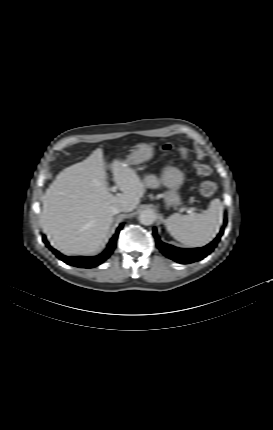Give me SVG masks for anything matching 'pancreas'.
I'll return each mask as SVG.
<instances>
[{"mask_svg":"<svg viewBox=\"0 0 273 430\" xmlns=\"http://www.w3.org/2000/svg\"><path fill=\"white\" fill-rule=\"evenodd\" d=\"M144 185L147 188H158L160 186V180L158 179L157 176L150 174V175H146L144 178Z\"/></svg>","mask_w":273,"mask_h":430,"instance_id":"cf45deb5","label":"pancreas"}]
</instances>
